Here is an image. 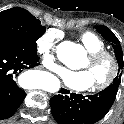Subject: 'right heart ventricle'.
<instances>
[{
    "mask_svg": "<svg viewBox=\"0 0 124 124\" xmlns=\"http://www.w3.org/2000/svg\"><path fill=\"white\" fill-rule=\"evenodd\" d=\"M79 41L88 52L105 49L103 39L91 31L82 33L79 37Z\"/></svg>",
    "mask_w": 124,
    "mask_h": 124,
    "instance_id": "1",
    "label": "right heart ventricle"
}]
</instances>
